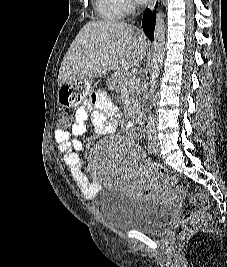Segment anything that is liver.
<instances>
[{"mask_svg": "<svg viewBox=\"0 0 227 267\" xmlns=\"http://www.w3.org/2000/svg\"><path fill=\"white\" fill-rule=\"evenodd\" d=\"M146 37L125 22L90 21L75 37L63 58L58 85L98 78L113 69L127 71L139 66L146 55Z\"/></svg>", "mask_w": 227, "mask_h": 267, "instance_id": "1", "label": "liver"}]
</instances>
